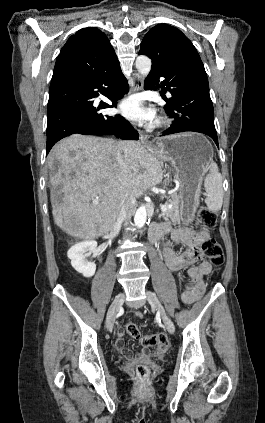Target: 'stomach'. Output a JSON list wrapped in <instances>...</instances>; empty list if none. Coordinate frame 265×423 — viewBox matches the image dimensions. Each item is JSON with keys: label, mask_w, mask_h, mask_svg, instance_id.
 <instances>
[{"label": "stomach", "mask_w": 265, "mask_h": 423, "mask_svg": "<svg viewBox=\"0 0 265 423\" xmlns=\"http://www.w3.org/2000/svg\"><path fill=\"white\" fill-rule=\"evenodd\" d=\"M150 151L175 168L179 182L180 218L185 224L191 223L199 205L203 176L213 159L212 145L201 134L181 133L160 139L157 147Z\"/></svg>", "instance_id": "1"}]
</instances>
